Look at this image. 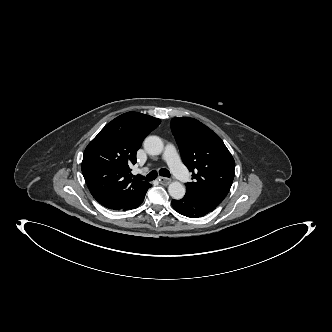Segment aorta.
Here are the masks:
<instances>
[{
    "label": "aorta",
    "mask_w": 332,
    "mask_h": 332,
    "mask_svg": "<svg viewBox=\"0 0 332 332\" xmlns=\"http://www.w3.org/2000/svg\"><path fill=\"white\" fill-rule=\"evenodd\" d=\"M164 148L163 141L158 136H148L144 140V149L149 155H159ZM168 192L173 199L180 200L185 195V187L178 181L172 182L168 187Z\"/></svg>",
    "instance_id": "obj_1"
}]
</instances>
